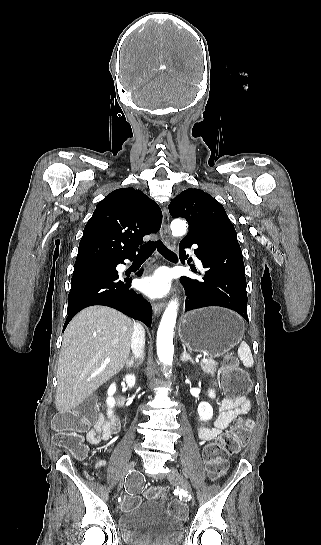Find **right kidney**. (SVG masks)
I'll list each match as a JSON object with an SVG mask.
<instances>
[{
  "label": "right kidney",
  "instance_id": "right-kidney-1",
  "mask_svg": "<svg viewBox=\"0 0 321 545\" xmlns=\"http://www.w3.org/2000/svg\"><path fill=\"white\" fill-rule=\"evenodd\" d=\"M124 381H126L128 387H134L135 383H136V377L135 375H126ZM114 393H116V385L115 383H112V385H110L108 391H107V395H108V399L106 401L109 409H111V407H114L115 405V399H113L112 395H114ZM108 417H112V411H108L107 413Z\"/></svg>",
  "mask_w": 321,
  "mask_h": 545
}]
</instances>
